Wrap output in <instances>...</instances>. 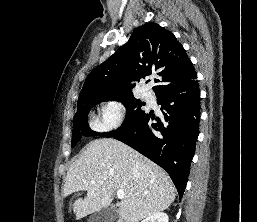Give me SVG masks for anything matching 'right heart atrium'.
<instances>
[{"instance_id":"1","label":"right heart atrium","mask_w":257,"mask_h":222,"mask_svg":"<svg viewBox=\"0 0 257 222\" xmlns=\"http://www.w3.org/2000/svg\"><path fill=\"white\" fill-rule=\"evenodd\" d=\"M107 106H109L114 111L117 119L112 123H106L105 121L96 123V129L99 131H107V130H112L119 127L126 116L127 110L125 105L122 102L120 101L109 102Z\"/></svg>"}]
</instances>
